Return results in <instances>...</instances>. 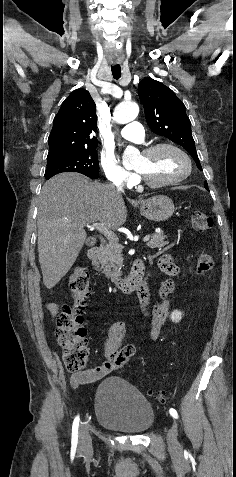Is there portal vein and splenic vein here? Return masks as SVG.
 Masks as SVG:
<instances>
[{"mask_svg":"<svg viewBox=\"0 0 236 477\" xmlns=\"http://www.w3.org/2000/svg\"><path fill=\"white\" fill-rule=\"evenodd\" d=\"M87 226L91 229V230H98L99 232H101L102 234H104V236H106L109 240H117V236L111 231L109 230V228H107L104 224L102 223H93V224H87ZM150 239V235H146L144 238H143V241L144 242H147L149 241Z\"/></svg>","mask_w":236,"mask_h":477,"instance_id":"1","label":"portal vein and splenic vein"}]
</instances>
